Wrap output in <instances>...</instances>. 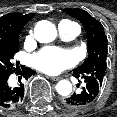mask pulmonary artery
<instances>
[{"mask_svg": "<svg viewBox=\"0 0 117 117\" xmlns=\"http://www.w3.org/2000/svg\"><path fill=\"white\" fill-rule=\"evenodd\" d=\"M58 32L63 40L70 41L80 33V27L76 23L62 21L58 25Z\"/></svg>", "mask_w": 117, "mask_h": 117, "instance_id": "1", "label": "pulmonary artery"}]
</instances>
